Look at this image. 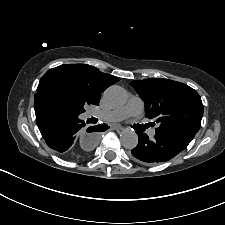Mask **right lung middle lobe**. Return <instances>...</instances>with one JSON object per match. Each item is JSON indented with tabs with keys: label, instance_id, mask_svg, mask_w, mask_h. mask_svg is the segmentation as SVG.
I'll return each mask as SVG.
<instances>
[{
	"label": "right lung middle lobe",
	"instance_id": "1",
	"mask_svg": "<svg viewBox=\"0 0 225 225\" xmlns=\"http://www.w3.org/2000/svg\"><path fill=\"white\" fill-rule=\"evenodd\" d=\"M37 94L81 114L90 105L84 94L61 79H49L38 85Z\"/></svg>",
	"mask_w": 225,
	"mask_h": 225
}]
</instances>
